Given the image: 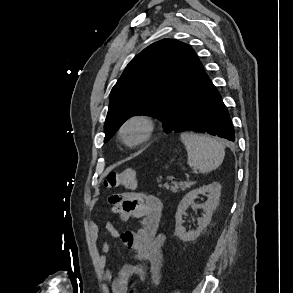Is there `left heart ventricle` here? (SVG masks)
Returning a JSON list of instances; mask_svg holds the SVG:
<instances>
[{
  "label": "left heart ventricle",
  "mask_w": 293,
  "mask_h": 293,
  "mask_svg": "<svg viewBox=\"0 0 293 293\" xmlns=\"http://www.w3.org/2000/svg\"><path fill=\"white\" fill-rule=\"evenodd\" d=\"M143 133V127L139 124H132L129 127H127L125 131V138L133 142L141 137Z\"/></svg>",
  "instance_id": "left-heart-ventricle-1"
}]
</instances>
